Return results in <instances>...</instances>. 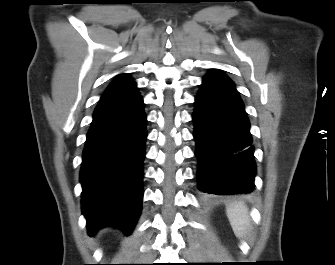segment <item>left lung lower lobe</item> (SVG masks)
<instances>
[{"mask_svg":"<svg viewBox=\"0 0 335 265\" xmlns=\"http://www.w3.org/2000/svg\"><path fill=\"white\" fill-rule=\"evenodd\" d=\"M193 122L199 189L215 195L252 192L256 164L250 124L234 83L222 72L210 70L203 78Z\"/></svg>","mask_w":335,"mask_h":265,"instance_id":"0a47b994","label":"left lung lower lobe"}]
</instances>
